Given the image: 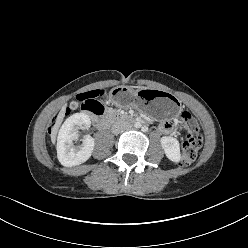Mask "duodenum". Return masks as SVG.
Segmentation results:
<instances>
[{
  "label": "duodenum",
  "mask_w": 248,
  "mask_h": 248,
  "mask_svg": "<svg viewBox=\"0 0 248 248\" xmlns=\"http://www.w3.org/2000/svg\"><path fill=\"white\" fill-rule=\"evenodd\" d=\"M85 110L94 117L95 123L99 128H107L110 124L114 122H130L131 118L124 114L109 113L106 115H100L101 113L95 112L90 108H85Z\"/></svg>",
  "instance_id": "410a0bca"
}]
</instances>
